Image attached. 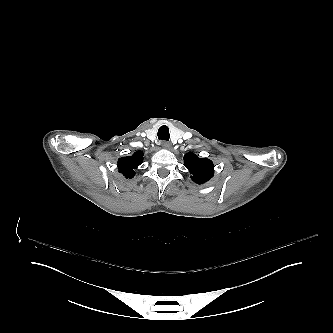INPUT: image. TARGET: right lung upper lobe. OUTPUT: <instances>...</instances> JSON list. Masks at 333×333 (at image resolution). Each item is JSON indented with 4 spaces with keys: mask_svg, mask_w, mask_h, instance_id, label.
<instances>
[{
    "mask_svg": "<svg viewBox=\"0 0 333 333\" xmlns=\"http://www.w3.org/2000/svg\"><path fill=\"white\" fill-rule=\"evenodd\" d=\"M143 163V152L136 151L132 156L122 157L118 160L119 172L126 178H133L135 170Z\"/></svg>",
    "mask_w": 333,
    "mask_h": 333,
    "instance_id": "right-lung-upper-lobe-1",
    "label": "right lung upper lobe"
}]
</instances>
